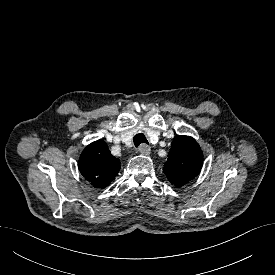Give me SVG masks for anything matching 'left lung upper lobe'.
Wrapping results in <instances>:
<instances>
[{"mask_svg": "<svg viewBox=\"0 0 275 275\" xmlns=\"http://www.w3.org/2000/svg\"><path fill=\"white\" fill-rule=\"evenodd\" d=\"M203 163V153L199 144L189 136L174 137L164 173L176 187H181L195 178Z\"/></svg>", "mask_w": 275, "mask_h": 275, "instance_id": "obj_1", "label": "left lung upper lobe"}]
</instances>
